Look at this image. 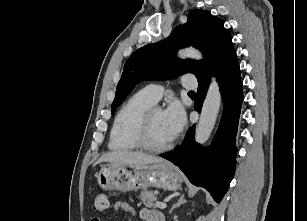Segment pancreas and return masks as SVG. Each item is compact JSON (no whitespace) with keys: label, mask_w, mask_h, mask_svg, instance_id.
<instances>
[{"label":"pancreas","mask_w":307,"mask_h":221,"mask_svg":"<svg viewBox=\"0 0 307 221\" xmlns=\"http://www.w3.org/2000/svg\"><path fill=\"white\" fill-rule=\"evenodd\" d=\"M157 193L154 191H147L144 190L141 192V194L139 195V199L141 200V202L149 208H155V202L157 201V197H156Z\"/></svg>","instance_id":"1"}]
</instances>
